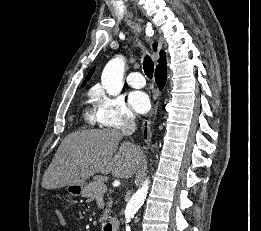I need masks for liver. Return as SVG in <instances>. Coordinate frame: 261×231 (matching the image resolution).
Wrapping results in <instances>:
<instances>
[{
  "instance_id": "liver-1",
  "label": "liver",
  "mask_w": 261,
  "mask_h": 231,
  "mask_svg": "<svg viewBox=\"0 0 261 231\" xmlns=\"http://www.w3.org/2000/svg\"><path fill=\"white\" fill-rule=\"evenodd\" d=\"M123 135L116 129L79 131L69 134L59 146L42 178V187L56 189L83 184L95 173L130 178L140 168L144 155L130 142L119 146Z\"/></svg>"
}]
</instances>
